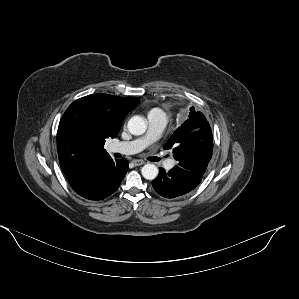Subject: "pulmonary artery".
<instances>
[{
	"instance_id": "obj_1",
	"label": "pulmonary artery",
	"mask_w": 299,
	"mask_h": 299,
	"mask_svg": "<svg viewBox=\"0 0 299 299\" xmlns=\"http://www.w3.org/2000/svg\"><path fill=\"white\" fill-rule=\"evenodd\" d=\"M168 123L167 115L163 111H156L148 115V130L145 135L125 142H116L110 146L111 152L121 154H135L156 141L164 131ZM175 161L170 159L165 163L167 169H171Z\"/></svg>"
}]
</instances>
